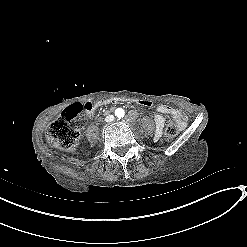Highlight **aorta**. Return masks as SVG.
Masks as SVG:
<instances>
[{"mask_svg": "<svg viewBox=\"0 0 247 247\" xmlns=\"http://www.w3.org/2000/svg\"><path fill=\"white\" fill-rule=\"evenodd\" d=\"M115 115L118 117V118H122L124 115H125V112L122 108H118L115 110Z\"/></svg>", "mask_w": 247, "mask_h": 247, "instance_id": "aorta-1", "label": "aorta"}]
</instances>
